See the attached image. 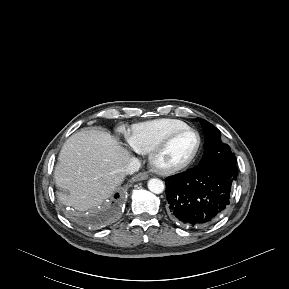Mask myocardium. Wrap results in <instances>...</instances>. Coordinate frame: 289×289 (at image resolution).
<instances>
[{
  "label": "myocardium",
  "instance_id": "f54148a6",
  "mask_svg": "<svg viewBox=\"0 0 289 289\" xmlns=\"http://www.w3.org/2000/svg\"><path fill=\"white\" fill-rule=\"evenodd\" d=\"M192 132L197 136V146L192 155L184 160L183 162L173 164V165H163L159 162L160 155L164 152V150L170 145V143L180 134ZM202 148V137L201 134L192 127H185L178 130H175L168 134L165 138H163L151 151L149 155V162L152 168L161 174H173L178 171H181L188 166H190L197 156L199 155Z\"/></svg>",
  "mask_w": 289,
  "mask_h": 289
}]
</instances>
